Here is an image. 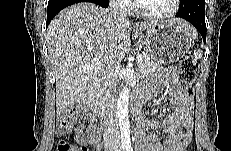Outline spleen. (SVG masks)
I'll return each mask as SVG.
<instances>
[{
    "mask_svg": "<svg viewBox=\"0 0 231 151\" xmlns=\"http://www.w3.org/2000/svg\"><path fill=\"white\" fill-rule=\"evenodd\" d=\"M194 57L196 59H200L202 57V51L200 49H197L194 51Z\"/></svg>",
    "mask_w": 231,
    "mask_h": 151,
    "instance_id": "spleen-1",
    "label": "spleen"
}]
</instances>
